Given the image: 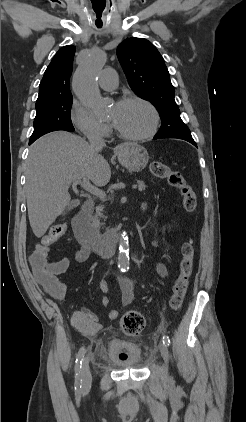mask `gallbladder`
I'll list each match as a JSON object with an SVG mask.
<instances>
[{
    "mask_svg": "<svg viewBox=\"0 0 246 422\" xmlns=\"http://www.w3.org/2000/svg\"><path fill=\"white\" fill-rule=\"evenodd\" d=\"M78 205H79V200H73V201L71 202V206H70V208L77 207Z\"/></svg>",
    "mask_w": 246,
    "mask_h": 422,
    "instance_id": "gallbladder-1",
    "label": "gallbladder"
}]
</instances>
